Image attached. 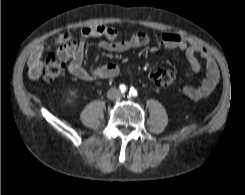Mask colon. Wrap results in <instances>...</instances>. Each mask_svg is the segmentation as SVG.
Returning a JSON list of instances; mask_svg holds the SVG:
<instances>
[{"label":"colon","mask_w":245,"mask_h":195,"mask_svg":"<svg viewBox=\"0 0 245 195\" xmlns=\"http://www.w3.org/2000/svg\"><path fill=\"white\" fill-rule=\"evenodd\" d=\"M65 64L58 60L54 54H49L44 61V69L42 73L45 82H53L64 77ZM150 78L156 87H167L175 79V73L172 69L160 68L151 73Z\"/></svg>","instance_id":"obj_1"}]
</instances>
